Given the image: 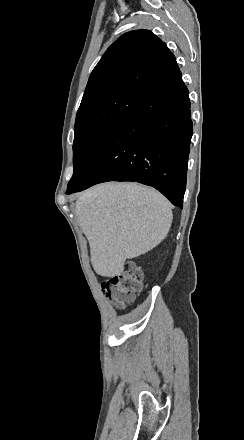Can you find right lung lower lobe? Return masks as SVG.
I'll list each match as a JSON object with an SVG mask.
<instances>
[{"label":"right lung lower lobe","mask_w":244,"mask_h":440,"mask_svg":"<svg viewBox=\"0 0 244 440\" xmlns=\"http://www.w3.org/2000/svg\"><path fill=\"white\" fill-rule=\"evenodd\" d=\"M191 137L189 93L178 70L140 98L66 193L136 181L182 208Z\"/></svg>","instance_id":"obj_1"}]
</instances>
